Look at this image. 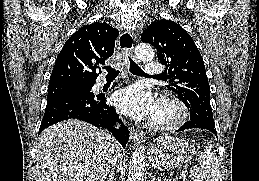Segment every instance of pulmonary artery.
Wrapping results in <instances>:
<instances>
[{
	"label": "pulmonary artery",
	"mask_w": 259,
	"mask_h": 181,
	"mask_svg": "<svg viewBox=\"0 0 259 181\" xmlns=\"http://www.w3.org/2000/svg\"><path fill=\"white\" fill-rule=\"evenodd\" d=\"M163 70L162 66L157 63H148L146 66L145 74L148 76H155L161 73Z\"/></svg>",
	"instance_id": "obj_1"
}]
</instances>
